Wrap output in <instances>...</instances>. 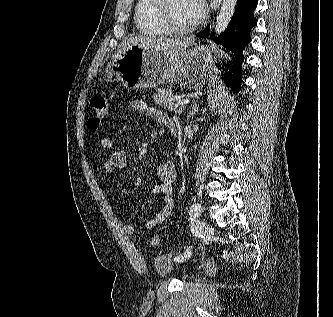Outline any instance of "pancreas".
<instances>
[{
	"label": "pancreas",
	"mask_w": 333,
	"mask_h": 317,
	"mask_svg": "<svg viewBox=\"0 0 333 317\" xmlns=\"http://www.w3.org/2000/svg\"><path fill=\"white\" fill-rule=\"evenodd\" d=\"M172 96H173L172 90L166 88V89L156 90V93L154 94L153 98L155 103L158 104L159 106L167 108L169 111L174 110L176 113H182L185 107L173 103V101L171 100Z\"/></svg>",
	"instance_id": "obj_1"
}]
</instances>
